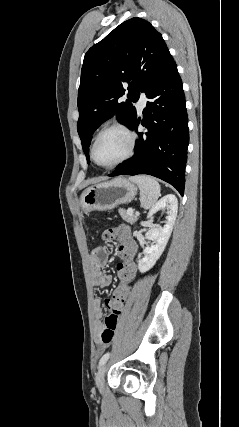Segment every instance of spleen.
<instances>
[{"mask_svg": "<svg viewBox=\"0 0 239 427\" xmlns=\"http://www.w3.org/2000/svg\"><path fill=\"white\" fill-rule=\"evenodd\" d=\"M140 189V203L144 209L152 208L160 197V185L156 179L147 175L130 177Z\"/></svg>", "mask_w": 239, "mask_h": 427, "instance_id": "obj_1", "label": "spleen"}]
</instances>
